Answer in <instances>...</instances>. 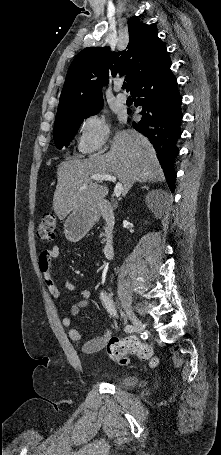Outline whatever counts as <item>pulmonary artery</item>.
<instances>
[{
	"instance_id": "pulmonary-artery-1",
	"label": "pulmonary artery",
	"mask_w": 221,
	"mask_h": 455,
	"mask_svg": "<svg viewBox=\"0 0 221 455\" xmlns=\"http://www.w3.org/2000/svg\"><path fill=\"white\" fill-rule=\"evenodd\" d=\"M116 91H117V94H116L117 101L120 103H125L127 101V96L124 93L120 92V87H117Z\"/></svg>"
}]
</instances>
